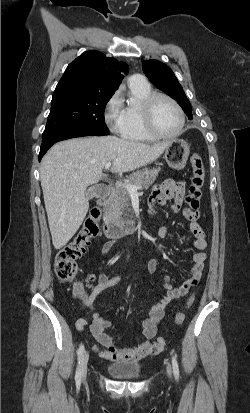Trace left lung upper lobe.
Instances as JSON below:
<instances>
[{
	"mask_svg": "<svg viewBox=\"0 0 250 413\" xmlns=\"http://www.w3.org/2000/svg\"><path fill=\"white\" fill-rule=\"evenodd\" d=\"M143 72L157 88L175 99L188 115V118L192 119V107L189 100L168 66L157 60H147L143 61Z\"/></svg>",
	"mask_w": 250,
	"mask_h": 413,
	"instance_id": "left-lung-upper-lobe-1",
	"label": "left lung upper lobe"
}]
</instances>
